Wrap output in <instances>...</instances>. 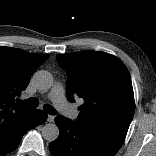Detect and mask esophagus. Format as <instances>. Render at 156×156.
<instances>
[{
	"mask_svg": "<svg viewBox=\"0 0 156 156\" xmlns=\"http://www.w3.org/2000/svg\"><path fill=\"white\" fill-rule=\"evenodd\" d=\"M54 119H55V117L53 115H48V117H47V121L50 123L54 122Z\"/></svg>",
	"mask_w": 156,
	"mask_h": 156,
	"instance_id": "esophagus-1",
	"label": "esophagus"
}]
</instances>
